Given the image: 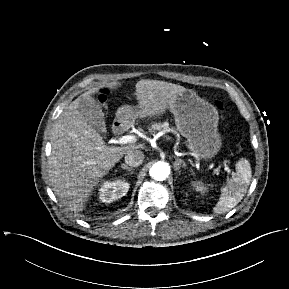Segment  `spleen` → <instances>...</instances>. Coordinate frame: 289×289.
<instances>
[{
    "mask_svg": "<svg viewBox=\"0 0 289 289\" xmlns=\"http://www.w3.org/2000/svg\"><path fill=\"white\" fill-rule=\"evenodd\" d=\"M252 177L251 167L248 160L241 158L236 163L235 176L227 180L221 188V196L216 206L215 213L222 214L234 208L244 197Z\"/></svg>",
    "mask_w": 289,
    "mask_h": 289,
    "instance_id": "1",
    "label": "spleen"
}]
</instances>
